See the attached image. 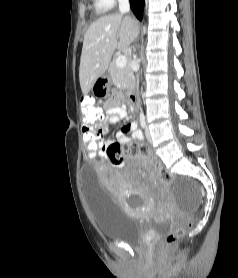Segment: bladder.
<instances>
[{
	"mask_svg": "<svg viewBox=\"0 0 238 278\" xmlns=\"http://www.w3.org/2000/svg\"><path fill=\"white\" fill-rule=\"evenodd\" d=\"M83 172V180H95L94 167H83ZM83 189L95 224L100 234L107 239L141 247L145 245L150 230L161 231L171 225L169 220L147 222L128 215L115 196L99 186V181H85Z\"/></svg>",
	"mask_w": 238,
	"mask_h": 278,
	"instance_id": "31cf9c89",
	"label": "bladder"
}]
</instances>
